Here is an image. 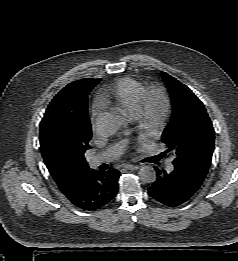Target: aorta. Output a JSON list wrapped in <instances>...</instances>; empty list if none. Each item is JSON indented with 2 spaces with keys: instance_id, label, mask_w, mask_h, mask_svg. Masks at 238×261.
Segmentation results:
<instances>
[{
  "instance_id": "1",
  "label": "aorta",
  "mask_w": 238,
  "mask_h": 261,
  "mask_svg": "<svg viewBox=\"0 0 238 261\" xmlns=\"http://www.w3.org/2000/svg\"><path fill=\"white\" fill-rule=\"evenodd\" d=\"M125 124L124 118L115 112H106L99 116L97 129L103 136L115 134ZM139 178L144 183H153L156 180V171L152 166H142L138 172Z\"/></svg>"
}]
</instances>
